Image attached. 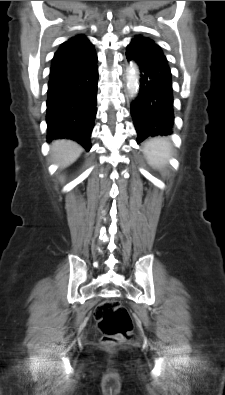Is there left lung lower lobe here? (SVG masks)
Returning <instances> with one entry per match:
<instances>
[{
	"mask_svg": "<svg viewBox=\"0 0 225 395\" xmlns=\"http://www.w3.org/2000/svg\"><path fill=\"white\" fill-rule=\"evenodd\" d=\"M126 57L137 63L141 77L138 97L131 105L138 144L148 137L170 135L174 124V99L168 63L140 62L128 50Z\"/></svg>",
	"mask_w": 225,
	"mask_h": 395,
	"instance_id": "1",
	"label": "left lung lower lobe"
}]
</instances>
